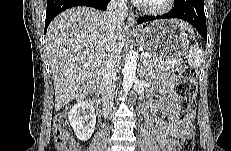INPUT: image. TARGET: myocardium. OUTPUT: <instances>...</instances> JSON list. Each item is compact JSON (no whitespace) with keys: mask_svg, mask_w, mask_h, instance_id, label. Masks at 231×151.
Wrapping results in <instances>:
<instances>
[{"mask_svg":"<svg viewBox=\"0 0 231 151\" xmlns=\"http://www.w3.org/2000/svg\"><path fill=\"white\" fill-rule=\"evenodd\" d=\"M173 0H162L161 3L147 2L140 6L142 12L148 15L157 16L168 12L171 8Z\"/></svg>","mask_w":231,"mask_h":151,"instance_id":"f54148a6","label":"myocardium"}]
</instances>
